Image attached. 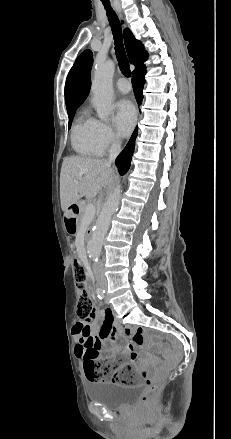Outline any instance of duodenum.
<instances>
[{"label":"duodenum","mask_w":231,"mask_h":439,"mask_svg":"<svg viewBox=\"0 0 231 439\" xmlns=\"http://www.w3.org/2000/svg\"><path fill=\"white\" fill-rule=\"evenodd\" d=\"M91 235V232L90 231H88V233H87V236H90Z\"/></svg>","instance_id":"1"}]
</instances>
